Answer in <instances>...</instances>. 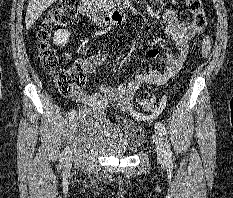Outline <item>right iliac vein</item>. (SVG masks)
I'll return each mask as SVG.
<instances>
[{
	"instance_id": "1",
	"label": "right iliac vein",
	"mask_w": 233,
	"mask_h": 198,
	"mask_svg": "<svg viewBox=\"0 0 233 198\" xmlns=\"http://www.w3.org/2000/svg\"><path fill=\"white\" fill-rule=\"evenodd\" d=\"M74 158L73 151L71 149H67L65 153V163L66 165H69Z\"/></svg>"
}]
</instances>
